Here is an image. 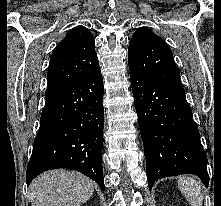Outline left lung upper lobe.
Here are the masks:
<instances>
[{
	"instance_id": "left-lung-upper-lobe-1",
	"label": "left lung upper lobe",
	"mask_w": 221,
	"mask_h": 206,
	"mask_svg": "<svg viewBox=\"0 0 221 206\" xmlns=\"http://www.w3.org/2000/svg\"><path fill=\"white\" fill-rule=\"evenodd\" d=\"M130 74L182 88L179 70L166 42L147 27H140L129 43Z\"/></svg>"
}]
</instances>
